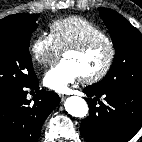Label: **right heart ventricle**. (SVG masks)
I'll use <instances>...</instances> for the list:
<instances>
[{
	"mask_svg": "<svg viewBox=\"0 0 142 142\" xmlns=\"http://www.w3.org/2000/svg\"><path fill=\"white\" fill-rule=\"evenodd\" d=\"M50 36L60 51L92 37L108 38L97 24L81 16H70L50 25Z\"/></svg>",
	"mask_w": 142,
	"mask_h": 142,
	"instance_id": "right-heart-ventricle-1",
	"label": "right heart ventricle"
}]
</instances>
